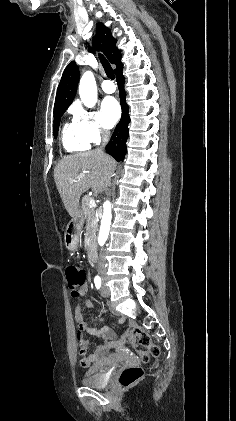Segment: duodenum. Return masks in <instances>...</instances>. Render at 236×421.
<instances>
[{
    "label": "duodenum",
    "mask_w": 236,
    "mask_h": 421,
    "mask_svg": "<svg viewBox=\"0 0 236 421\" xmlns=\"http://www.w3.org/2000/svg\"><path fill=\"white\" fill-rule=\"evenodd\" d=\"M96 241H97L96 235H92L89 241V245H88V256L92 261L96 260ZM83 328H85V325H83ZM83 328L82 327L80 328L81 330L78 331V335H79V342L85 346L87 342L83 338ZM102 332L103 331H95L96 334H101ZM123 343H124V340L121 339L119 343H117V346L121 347ZM110 347H111V344L109 343L102 345L98 348L97 353L90 356L91 362H95L96 368H101L104 365L110 366L115 362L117 358H119L118 355H111V356L107 355V352Z\"/></svg>",
    "instance_id": "duodenum-1"
}]
</instances>
